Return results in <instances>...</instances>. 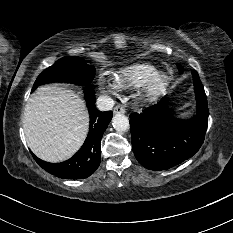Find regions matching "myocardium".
I'll use <instances>...</instances> for the list:
<instances>
[{"instance_id":"obj_1","label":"myocardium","mask_w":233,"mask_h":233,"mask_svg":"<svg viewBox=\"0 0 233 233\" xmlns=\"http://www.w3.org/2000/svg\"><path fill=\"white\" fill-rule=\"evenodd\" d=\"M169 76L167 73L158 72L150 78L143 87L142 99L146 103L156 101L162 94L169 83Z\"/></svg>"}]
</instances>
